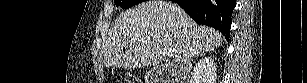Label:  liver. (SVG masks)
Masks as SVG:
<instances>
[{
    "label": "liver",
    "mask_w": 307,
    "mask_h": 83,
    "mask_svg": "<svg viewBox=\"0 0 307 83\" xmlns=\"http://www.w3.org/2000/svg\"><path fill=\"white\" fill-rule=\"evenodd\" d=\"M221 44L217 30L199 26L176 4L153 0L115 20L103 44V62L106 67H157L163 50L171 49L179 65Z\"/></svg>",
    "instance_id": "liver-1"
}]
</instances>
